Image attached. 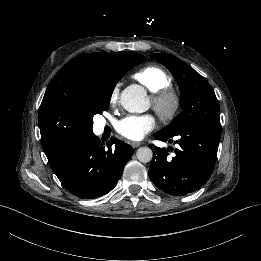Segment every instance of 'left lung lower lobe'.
Returning <instances> with one entry per match:
<instances>
[{"label": "left lung lower lobe", "instance_id": "left-lung-lower-lobe-1", "mask_svg": "<svg viewBox=\"0 0 261 261\" xmlns=\"http://www.w3.org/2000/svg\"><path fill=\"white\" fill-rule=\"evenodd\" d=\"M154 136L164 142L175 137L159 132ZM176 136L178 140L174 144H178L180 148L175 149L172 160L168 158L166 148L154 147L149 176L165 193L184 196L199 190L211 176L221 130L211 125L199 124L185 129Z\"/></svg>", "mask_w": 261, "mask_h": 261}]
</instances>
